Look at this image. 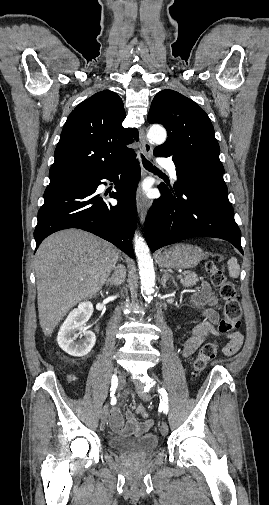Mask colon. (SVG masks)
Listing matches in <instances>:
<instances>
[{
  "label": "colon",
  "mask_w": 269,
  "mask_h": 505,
  "mask_svg": "<svg viewBox=\"0 0 269 505\" xmlns=\"http://www.w3.org/2000/svg\"><path fill=\"white\" fill-rule=\"evenodd\" d=\"M207 269L211 284L219 290L220 297L224 301L223 317L218 326L219 332L222 334L231 333L240 327L242 319V308L235 285L227 279L223 270L213 262L208 263ZM217 353L218 344L216 342H208L201 346L193 363L194 377L202 374ZM136 411L142 417L147 415V411L142 405L137 406Z\"/></svg>",
  "instance_id": "colon-1"
}]
</instances>
